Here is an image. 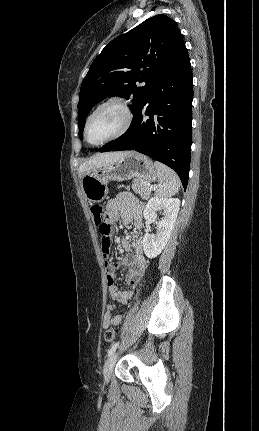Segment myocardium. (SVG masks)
<instances>
[{
    "label": "myocardium",
    "mask_w": 259,
    "mask_h": 431,
    "mask_svg": "<svg viewBox=\"0 0 259 431\" xmlns=\"http://www.w3.org/2000/svg\"><path fill=\"white\" fill-rule=\"evenodd\" d=\"M109 105H117L122 110V112L124 114V122H123L121 128L112 136L108 137L107 139H105L99 143H92L88 139V127H89L90 121L97 114V112H99L102 108L109 106ZM132 123H133V111H132L129 100L126 99L125 97H122V96H112V97L107 98L106 100H104L100 104H98L92 110V112L88 115L86 122H85L84 130H83L84 139L88 144H90L92 146H101V145H104L108 142H111V141L118 139L119 137L123 136L130 129Z\"/></svg>",
    "instance_id": "myocardium-1"
}]
</instances>
